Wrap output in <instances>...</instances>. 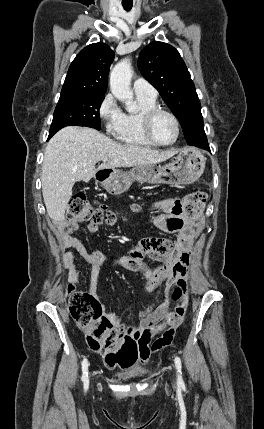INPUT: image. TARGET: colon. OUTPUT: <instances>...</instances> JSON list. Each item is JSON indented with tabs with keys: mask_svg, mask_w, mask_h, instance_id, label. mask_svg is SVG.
I'll list each match as a JSON object with an SVG mask.
<instances>
[{
	"mask_svg": "<svg viewBox=\"0 0 264 429\" xmlns=\"http://www.w3.org/2000/svg\"><path fill=\"white\" fill-rule=\"evenodd\" d=\"M206 202V193L195 191L184 197L180 210L189 219L193 228L198 226ZM70 223L90 221L97 224H112L116 215L103 206L94 207L83 194L74 195L67 210ZM70 313L75 325L86 334L90 349L105 354L109 367L122 369L132 366L137 359V343L128 337L119 326V319H110L102 314L101 305L88 293L75 290L69 285ZM175 308L184 312L186 306L184 284L177 283L172 292Z\"/></svg>",
	"mask_w": 264,
	"mask_h": 429,
	"instance_id": "5ec220e1",
	"label": "colon"
}]
</instances>
